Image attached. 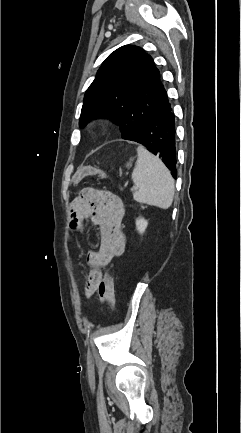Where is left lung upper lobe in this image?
I'll list each match as a JSON object with an SVG mask.
<instances>
[{
    "instance_id": "obj_1",
    "label": "left lung upper lobe",
    "mask_w": 241,
    "mask_h": 433,
    "mask_svg": "<svg viewBox=\"0 0 241 433\" xmlns=\"http://www.w3.org/2000/svg\"><path fill=\"white\" fill-rule=\"evenodd\" d=\"M166 90L153 59L140 47L125 45L102 63L85 93L79 125L98 117L112 118L122 138L140 128L160 106Z\"/></svg>"
}]
</instances>
